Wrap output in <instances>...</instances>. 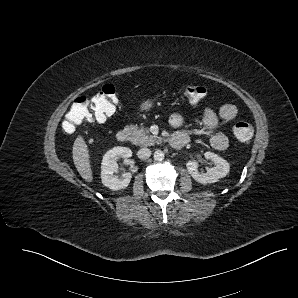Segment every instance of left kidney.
Returning <instances> with one entry per match:
<instances>
[{
    "label": "left kidney",
    "mask_w": 298,
    "mask_h": 298,
    "mask_svg": "<svg viewBox=\"0 0 298 298\" xmlns=\"http://www.w3.org/2000/svg\"><path fill=\"white\" fill-rule=\"evenodd\" d=\"M206 159L214 163V167L209 168L206 173L198 171V163L196 161H188L186 164L187 170L192 178L202 184L217 182L220 178L225 177L230 170L229 163L222 157L213 152H205Z\"/></svg>",
    "instance_id": "5707ae66"
}]
</instances>
